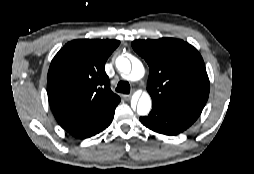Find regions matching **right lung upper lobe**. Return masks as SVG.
Instances as JSON below:
<instances>
[{"instance_id": "right-lung-upper-lobe-1", "label": "right lung upper lobe", "mask_w": 254, "mask_h": 174, "mask_svg": "<svg viewBox=\"0 0 254 174\" xmlns=\"http://www.w3.org/2000/svg\"><path fill=\"white\" fill-rule=\"evenodd\" d=\"M118 40L79 39L67 43L53 58L47 93L60 126H67L96 110L118 105L110 89L105 62Z\"/></svg>"}]
</instances>
